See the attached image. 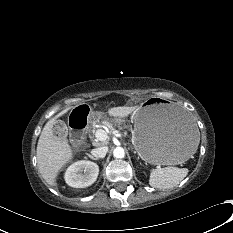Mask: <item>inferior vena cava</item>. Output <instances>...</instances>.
Here are the masks:
<instances>
[{"instance_id":"602c4592","label":"inferior vena cava","mask_w":233,"mask_h":233,"mask_svg":"<svg viewBox=\"0 0 233 233\" xmlns=\"http://www.w3.org/2000/svg\"><path fill=\"white\" fill-rule=\"evenodd\" d=\"M108 152V147L103 146V147H98L95 148L91 151V154L96 157V158H104Z\"/></svg>"}]
</instances>
